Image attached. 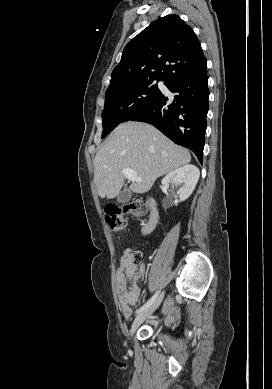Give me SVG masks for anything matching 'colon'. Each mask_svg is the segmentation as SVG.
I'll use <instances>...</instances> for the list:
<instances>
[{
	"label": "colon",
	"instance_id": "colon-1",
	"mask_svg": "<svg viewBox=\"0 0 272 389\" xmlns=\"http://www.w3.org/2000/svg\"><path fill=\"white\" fill-rule=\"evenodd\" d=\"M146 211L147 205L142 200L135 199L124 207H110L106 209L105 221L113 232H118L125 225L124 215L131 214L140 216L143 215ZM133 263L137 264L138 258H134Z\"/></svg>",
	"mask_w": 272,
	"mask_h": 389
}]
</instances>
